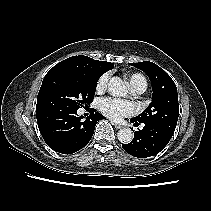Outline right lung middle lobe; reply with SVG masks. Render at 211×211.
<instances>
[{
	"label": "right lung middle lobe",
	"mask_w": 211,
	"mask_h": 211,
	"mask_svg": "<svg viewBox=\"0 0 211 211\" xmlns=\"http://www.w3.org/2000/svg\"><path fill=\"white\" fill-rule=\"evenodd\" d=\"M99 78L76 68L54 66L43 79L36 111L54 108L78 110L90 105Z\"/></svg>",
	"instance_id": "right-lung-middle-lobe-1"
}]
</instances>
